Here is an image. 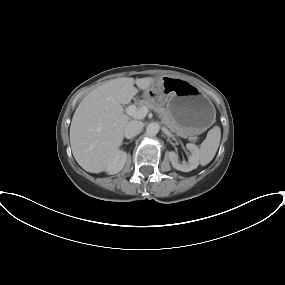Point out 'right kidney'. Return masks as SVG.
<instances>
[{"mask_svg":"<svg viewBox=\"0 0 285 285\" xmlns=\"http://www.w3.org/2000/svg\"><path fill=\"white\" fill-rule=\"evenodd\" d=\"M127 160V153L123 150H118L114 156L112 157L111 161L106 167V172L108 174H116L120 172L126 163Z\"/></svg>","mask_w":285,"mask_h":285,"instance_id":"1","label":"right kidney"}]
</instances>
